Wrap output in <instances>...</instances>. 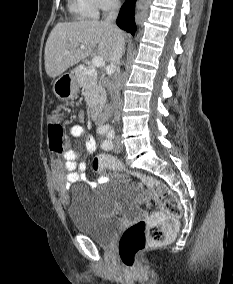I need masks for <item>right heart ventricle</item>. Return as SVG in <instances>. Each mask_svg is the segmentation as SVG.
Segmentation results:
<instances>
[{
    "label": "right heart ventricle",
    "instance_id": "right-heart-ventricle-1",
    "mask_svg": "<svg viewBox=\"0 0 233 284\" xmlns=\"http://www.w3.org/2000/svg\"><path fill=\"white\" fill-rule=\"evenodd\" d=\"M70 9L83 19H96L99 14L93 0H71Z\"/></svg>",
    "mask_w": 233,
    "mask_h": 284
}]
</instances>
